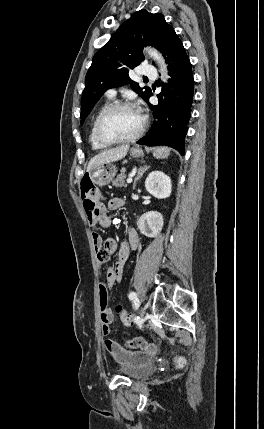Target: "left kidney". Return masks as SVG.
<instances>
[{
  "mask_svg": "<svg viewBox=\"0 0 264 429\" xmlns=\"http://www.w3.org/2000/svg\"><path fill=\"white\" fill-rule=\"evenodd\" d=\"M146 190L158 199L168 198L172 191L171 179L161 171L151 172L145 180ZM164 225L163 216L157 211L146 212L137 222L140 232L147 237H155Z\"/></svg>",
  "mask_w": 264,
  "mask_h": 429,
  "instance_id": "1",
  "label": "left kidney"
}]
</instances>
